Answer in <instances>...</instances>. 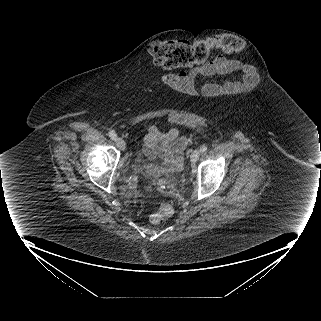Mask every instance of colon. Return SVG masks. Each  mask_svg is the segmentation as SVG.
<instances>
[{
    "mask_svg": "<svg viewBox=\"0 0 321 321\" xmlns=\"http://www.w3.org/2000/svg\"><path fill=\"white\" fill-rule=\"evenodd\" d=\"M240 38L230 35H217L207 40L189 42L186 40L155 41L149 46L153 62L165 69H177L206 62L215 51L236 53L242 50ZM173 213L169 204H162L157 213L151 216L154 224L162 223Z\"/></svg>",
    "mask_w": 321,
    "mask_h": 321,
    "instance_id": "1",
    "label": "colon"
}]
</instances>
